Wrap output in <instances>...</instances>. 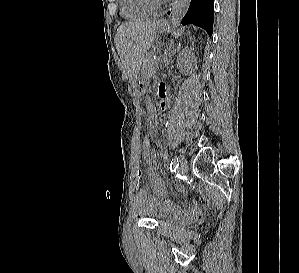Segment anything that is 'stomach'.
<instances>
[{
	"instance_id": "obj_1",
	"label": "stomach",
	"mask_w": 299,
	"mask_h": 273,
	"mask_svg": "<svg viewBox=\"0 0 299 273\" xmlns=\"http://www.w3.org/2000/svg\"><path fill=\"white\" fill-rule=\"evenodd\" d=\"M157 30L160 33H163L169 30V26L167 23L159 22L157 25ZM147 79L148 76L146 75H141L136 78V88L139 94H144L146 92Z\"/></svg>"
}]
</instances>
